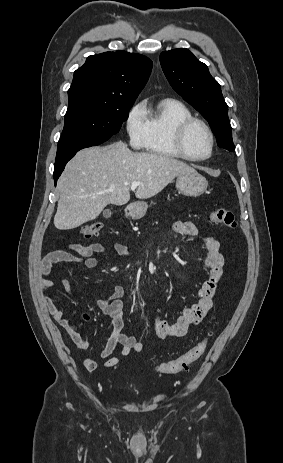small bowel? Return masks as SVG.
Here are the masks:
<instances>
[{
	"instance_id": "c3829d8e",
	"label": "small bowel",
	"mask_w": 283,
	"mask_h": 463,
	"mask_svg": "<svg viewBox=\"0 0 283 463\" xmlns=\"http://www.w3.org/2000/svg\"><path fill=\"white\" fill-rule=\"evenodd\" d=\"M173 229L178 234L192 238L200 236L197 226L189 221H177L174 223ZM202 239L205 249L204 267L208 272V278L198 291L197 302L191 307L184 308L175 323L169 324L159 317L154 318L153 330L159 339L183 337L190 327L198 325L206 317L213 306L214 297L220 288L224 274L225 258L220 252L219 242L214 237L205 236ZM67 248L68 250L51 251L44 257L40 271L42 275L40 288L43 292H47L54 287L53 280L49 278L54 264L67 262L81 264L86 269H94L98 265V259L94 255L105 253V247L101 243H91L89 245L69 243ZM71 251L75 252V254ZM114 251L121 256L129 257L131 255L127 247L122 243H115ZM62 284L69 293H72L67 280H63ZM124 293L123 287L115 286L107 296L94 302L95 306L102 313L108 315L112 322V333L100 354L101 359L105 360L104 365L107 368L119 364L120 359L112 357L117 350L120 351L122 356H127L131 352H140L144 348L140 340L123 333L122 297ZM43 303L54 320L69 330L76 347L80 350L88 349L90 346L89 341L83 339L78 332L72 329L69 320L64 317L63 312L53 299L45 294ZM81 364L90 372L97 367L96 360L87 355L81 357Z\"/></svg>"
}]
</instances>
